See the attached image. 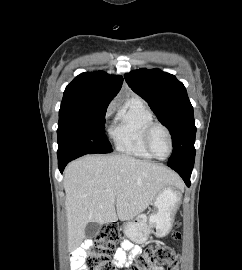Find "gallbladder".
<instances>
[{
  "mask_svg": "<svg viewBox=\"0 0 242 270\" xmlns=\"http://www.w3.org/2000/svg\"><path fill=\"white\" fill-rule=\"evenodd\" d=\"M100 230V226L98 223L96 222H89L87 223L86 225V228H85V234L88 238H93L95 237L98 232Z\"/></svg>",
  "mask_w": 242,
  "mask_h": 270,
  "instance_id": "obj_1",
  "label": "gallbladder"
}]
</instances>
